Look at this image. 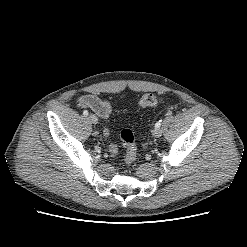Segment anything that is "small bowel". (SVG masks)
Here are the masks:
<instances>
[{"label":"small bowel","mask_w":247,"mask_h":247,"mask_svg":"<svg viewBox=\"0 0 247 247\" xmlns=\"http://www.w3.org/2000/svg\"><path fill=\"white\" fill-rule=\"evenodd\" d=\"M79 105L81 107L89 108L94 113L102 118L109 116L111 112L110 103L106 100H102L93 94H87L79 99Z\"/></svg>","instance_id":"c3829d8e"}]
</instances>
